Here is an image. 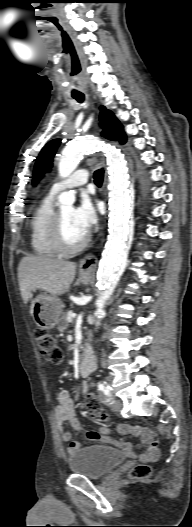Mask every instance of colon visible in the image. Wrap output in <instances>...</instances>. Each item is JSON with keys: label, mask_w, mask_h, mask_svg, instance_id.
<instances>
[{"label": "colon", "mask_w": 192, "mask_h": 527, "mask_svg": "<svg viewBox=\"0 0 192 527\" xmlns=\"http://www.w3.org/2000/svg\"><path fill=\"white\" fill-rule=\"evenodd\" d=\"M34 337L41 355L51 364L59 365L63 360V353L58 345L55 337L43 328H36L34 330ZM87 413L90 418L96 422H105L107 420V413L102 408L97 396L93 393H88L85 398ZM119 431V429L117 428ZM90 434V432H88ZM152 447L156 446V437H150ZM151 475V468L147 465H138L132 471V476L135 478H148Z\"/></svg>", "instance_id": "5ec220e1"}]
</instances>
